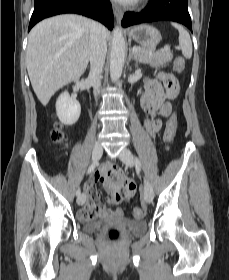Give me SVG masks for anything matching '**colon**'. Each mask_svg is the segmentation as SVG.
Wrapping results in <instances>:
<instances>
[{
    "instance_id": "obj_1",
    "label": "colon",
    "mask_w": 229,
    "mask_h": 280,
    "mask_svg": "<svg viewBox=\"0 0 229 280\" xmlns=\"http://www.w3.org/2000/svg\"><path fill=\"white\" fill-rule=\"evenodd\" d=\"M177 63L178 65L182 66L185 63V59L183 57H179L177 59ZM161 80L165 88L167 89L169 95L172 98H175L178 93V81L175 78V76L170 73H164L161 75ZM177 130H178V120L176 115L174 114L168 118L163 133V139L167 144H171L175 140ZM50 138L55 143L61 142L63 140L64 135L60 125L56 124L54 126V128L50 132ZM109 180L118 183L127 179L123 178L118 174H112L109 176ZM133 215L137 218H141L144 216V212L140 208H135L133 210ZM108 237L111 240L116 239L118 237V231L111 230L108 234Z\"/></svg>"
}]
</instances>
